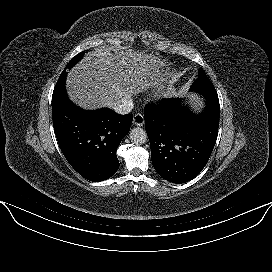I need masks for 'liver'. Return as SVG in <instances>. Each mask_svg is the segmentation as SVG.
I'll list each match as a JSON object with an SVG mask.
<instances>
[{
    "label": "liver",
    "instance_id": "6515ba94",
    "mask_svg": "<svg viewBox=\"0 0 272 272\" xmlns=\"http://www.w3.org/2000/svg\"><path fill=\"white\" fill-rule=\"evenodd\" d=\"M157 57L121 46L87 53L68 73L70 99L84 109L109 107L155 85Z\"/></svg>",
    "mask_w": 272,
    "mask_h": 272
}]
</instances>
